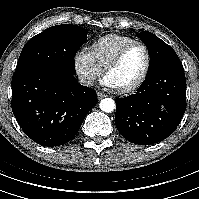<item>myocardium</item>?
Segmentation results:
<instances>
[{
  "label": "myocardium",
  "instance_id": "obj_1",
  "mask_svg": "<svg viewBox=\"0 0 199 199\" xmlns=\"http://www.w3.org/2000/svg\"><path fill=\"white\" fill-rule=\"evenodd\" d=\"M136 45L141 46L145 50V53H146L145 68H144L142 74L140 75V77L131 85L123 87V88H113V90L117 93L128 94V93H132V92L136 91L139 87L142 86V84L145 82V80L148 77V74H149V71L151 68V64H152V56H151L149 47L144 42H141V41H133V42L125 45L124 47H122L117 52V54L111 59V61L104 67L102 75L105 78L107 73H109L111 70H113L115 67H117L119 65V63L121 62V60L123 59V57L127 53V51Z\"/></svg>",
  "mask_w": 199,
  "mask_h": 199
}]
</instances>
